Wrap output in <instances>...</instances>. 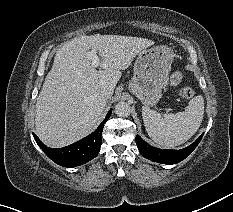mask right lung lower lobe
Returning a JSON list of instances; mask_svg holds the SVG:
<instances>
[{"label":"right lung lower lobe","instance_id":"right-lung-lower-lobe-1","mask_svg":"<svg viewBox=\"0 0 233 212\" xmlns=\"http://www.w3.org/2000/svg\"><path fill=\"white\" fill-rule=\"evenodd\" d=\"M112 109L98 128L89 136L60 149L48 148L33 133L34 139L43 152L55 163L63 167H75L87 163L95 158L102 144V131L104 124L110 118Z\"/></svg>","mask_w":233,"mask_h":212}]
</instances>
